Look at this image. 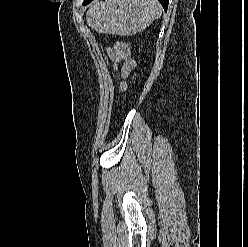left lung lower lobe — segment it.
<instances>
[{
    "mask_svg": "<svg viewBox=\"0 0 248 247\" xmlns=\"http://www.w3.org/2000/svg\"><path fill=\"white\" fill-rule=\"evenodd\" d=\"M91 1H92V0H84L83 5H87V4H89ZM158 1L162 4L163 8H164L165 10H167V6H168L169 0H158Z\"/></svg>",
    "mask_w": 248,
    "mask_h": 247,
    "instance_id": "left-lung-lower-lobe-1",
    "label": "left lung lower lobe"
}]
</instances>
